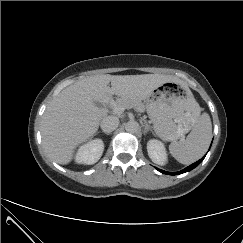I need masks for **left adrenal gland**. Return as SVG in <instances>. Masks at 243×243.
<instances>
[{
	"label": "left adrenal gland",
	"mask_w": 243,
	"mask_h": 243,
	"mask_svg": "<svg viewBox=\"0 0 243 243\" xmlns=\"http://www.w3.org/2000/svg\"><path fill=\"white\" fill-rule=\"evenodd\" d=\"M149 131L152 132V129H151V127L146 123V124L144 125V134L146 135L147 132H149Z\"/></svg>",
	"instance_id": "a2214340"
}]
</instances>
